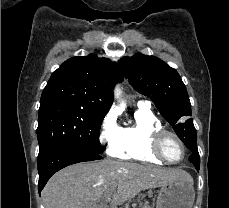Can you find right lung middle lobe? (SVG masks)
<instances>
[{
	"instance_id": "right-lung-middle-lobe-1",
	"label": "right lung middle lobe",
	"mask_w": 229,
	"mask_h": 208,
	"mask_svg": "<svg viewBox=\"0 0 229 208\" xmlns=\"http://www.w3.org/2000/svg\"><path fill=\"white\" fill-rule=\"evenodd\" d=\"M103 118L70 102L51 101L40 104L37 128L38 159L64 145H75L101 154L99 130Z\"/></svg>"
}]
</instances>
